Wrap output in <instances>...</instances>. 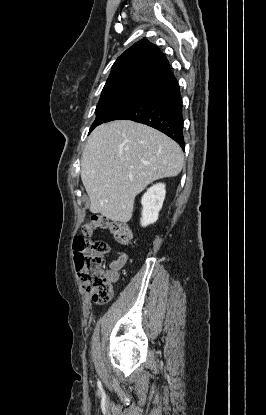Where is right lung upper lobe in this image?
Wrapping results in <instances>:
<instances>
[{
	"mask_svg": "<svg viewBox=\"0 0 266 415\" xmlns=\"http://www.w3.org/2000/svg\"><path fill=\"white\" fill-rule=\"evenodd\" d=\"M174 79L169 62L159 48L148 40H140L115 61L102 93L115 90L150 93Z\"/></svg>",
	"mask_w": 266,
	"mask_h": 415,
	"instance_id": "1",
	"label": "right lung upper lobe"
}]
</instances>
